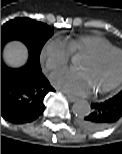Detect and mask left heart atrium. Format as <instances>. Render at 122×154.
<instances>
[{
  "mask_svg": "<svg viewBox=\"0 0 122 154\" xmlns=\"http://www.w3.org/2000/svg\"><path fill=\"white\" fill-rule=\"evenodd\" d=\"M52 83L60 90L75 96H88L93 92L87 73L63 69L51 75Z\"/></svg>",
  "mask_w": 122,
  "mask_h": 154,
  "instance_id": "left-heart-atrium-1",
  "label": "left heart atrium"
}]
</instances>
